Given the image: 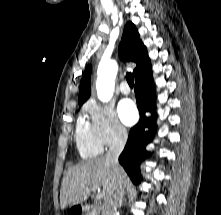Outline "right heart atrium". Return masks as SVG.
I'll list each match as a JSON object with an SVG mask.
<instances>
[{
	"instance_id": "1",
	"label": "right heart atrium",
	"mask_w": 221,
	"mask_h": 215,
	"mask_svg": "<svg viewBox=\"0 0 221 215\" xmlns=\"http://www.w3.org/2000/svg\"><path fill=\"white\" fill-rule=\"evenodd\" d=\"M85 110L90 116L94 135L102 146L116 145L127 138V130L119 122L112 105L91 101Z\"/></svg>"
}]
</instances>
